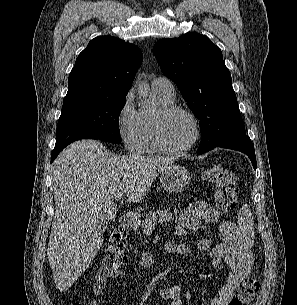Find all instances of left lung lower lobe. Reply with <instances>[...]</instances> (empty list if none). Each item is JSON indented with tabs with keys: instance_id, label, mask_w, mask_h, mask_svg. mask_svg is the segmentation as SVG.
I'll return each instance as SVG.
<instances>
[{
	"instance_id": "1",
	"label": "left lung lower lobe",
	"mask_w": 297,
	"mask_h": 305,
	"mask_svg": "<svg viewBox=\"0 0 297 305\" xmlns=\"http://www.w3.org/2000/svg\"><path fill=\"white\" fill-rule=\"evenodd\" d=\"M215 147L228 148L245 153L250 158L253 168L256 169V156L254 146L248 135H246V133L236 135L228 140L221 142L217 146H209L202 150H199L198 154L206 153L207 151Z\"/></svg>"
}]
</instances>
